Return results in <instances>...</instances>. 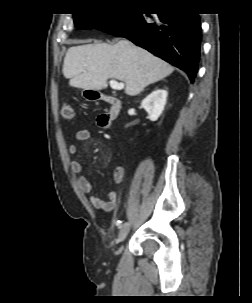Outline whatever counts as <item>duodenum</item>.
Instances as JSON below:
<instances>
[{
    "instance_id": "duodenum-1",
    "label": "duodenum",
    "mask_w": 252,
    "mask_h": 303,
    "mask_svg": "<svg viewBox=\"0 0 252 303\" xmlns=\"http://www.w3.org/2000/svg\"><path fill=\"white\" fill-rule=\"evenodd\" d=\"M93 96L95 98H101V96L98 95L97 92H94ZM104 99L110 104V109L107 113H104L101 116L107 124H110L118 117L121 109V103L117 98L113 96H105Z\"/></svg>"
}]
</instances>
